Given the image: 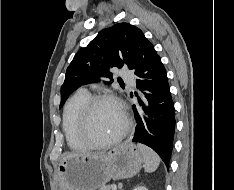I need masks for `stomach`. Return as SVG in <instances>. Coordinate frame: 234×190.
<instances>
[{"label": "stomach", "instance_id": "0dacf381", "mask_svg": "<svg viewBox=\"0 0 234 190\" xmlns=\"http://www.w3.org/2000/svg\"><path fill=\"white\" fill-rule=\"evenodd\" d=\"M143 161L141 151L129 141L100 155L65 158L58 166L59 190H99L111 179L133 177Z\"/></svg>", "mask_w": 234, "mask_h": 190}]
</instances>
